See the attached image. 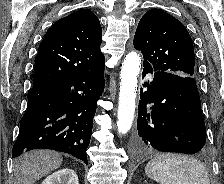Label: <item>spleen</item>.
<instances>
[{"label": "spleen", "instance_id": "3e777b00", "mask_svg": "<svg viewBox=\"0 0 224 184\" xmlns=\"http://www.w3.org/2000/svg\"><path fill=\"white\" fill-rule=\"evenodd\" d=\"M145 173L160 184H210L202 163L177 154L154 157L147 163Z\"/></svg>", "mask_w": 224, "mask_h": 184}]
</instances>
